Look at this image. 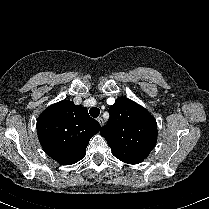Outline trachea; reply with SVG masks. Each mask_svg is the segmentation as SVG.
Returning <instances> with one entry per match:
<instances>
[{
  "label": "trachea",
  "mask_w": 209,
  "mask_h": 209,
  "mask_svg": "<svg viewBox=\"0 0 209 209\" xmlns=\"http://www.w3.org/2000/svg\"><path fill=\"white\" fill-rule=\"evenodd\" d=\"M89 113H90V115H91L93 118H97V117L100 115V109L97 108V107H92V108L89 110Z\"/></svg>",
  "instance_id": "trachea-1"
}]
</instances>
